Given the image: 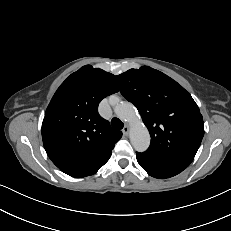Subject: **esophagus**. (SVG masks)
I'll return each mask as SVG.
<instances>
[{
  "label": "esophagus",
  "instance_id": "34e87169",
  "mask_svg": "<svg viewBox=\"0 0 231 231\" xmlns=\"http://www.w3.org/2000/svg\"><path fill=\"white\" fill-rule=\"evenodd\" d=\"M122 132H123L124 135H128V133H129V126L125 125L124 128L122 129Z\"/></svg>",
  "mask_w": 231,
  "mask_h": 231
}]
</instances>
